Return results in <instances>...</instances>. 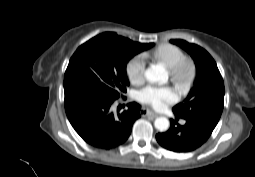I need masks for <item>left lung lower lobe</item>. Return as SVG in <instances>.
I'll return each instance as SVG.
<instances>
[{
	"mask_svg": "<svg viewBox=\"0 0 255 177\" xmlns=\"http://www.w3.org/2000/svg\"><path fill=\"white\" fill-rule=\"evenodd\" d=\"M185 125L171 120V127L164 133H158V143L167 150L185 153L200 147L210 137L214 126L204 122L187 119Z\"/></svg>",
	"mask_w": 255,
	"mask_h": 177,
	"instance_id": "0a47b994",
	"label": "left lung lower lobe"
}]
</instances>
